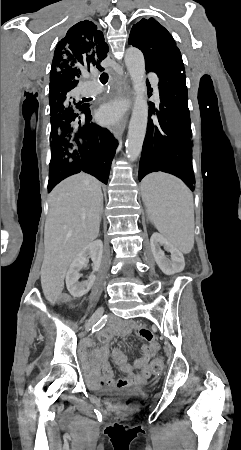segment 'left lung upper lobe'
<instances>
[{
	"label": "left lung upper lobe",
	"mask_w": 241,
	"mask_h": 450,
	"mask_svg": "<svg viewBox=\"0 0 241 450\" xmlns=\"http://www.w3.org/2000/svg\"><path fill=\"white\" fill-rule=\"evenodd\" d=\"M128 42L143 52L145 64H154L161 57L175 54L172 48L176 43L171 34L153 18H143L133 25Z\"/></svg>",
	"instance_id": "left-lung-upper-lobe-1"
}]
</instances>
